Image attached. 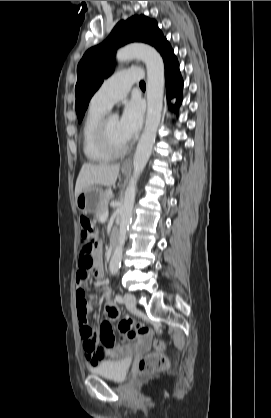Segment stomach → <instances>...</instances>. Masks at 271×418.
<instances>
[{
	"label": "stomach",
	"instance_id": "stomach-1",
	"mask_svg": "<svg viewBox=\"0 0 271 418\" xmlns=\"http://www.w3.org/2000/svg\"><path fill=\"white\" fill-rule=\"evenodd\" d=\"M126 173L125 168L122 169ZM104 191L98 186L94 185L82 191L76 198V206L84 214L95 213L99 207L100 201L103 197Z\"/></svg>",
	"mask_w": 271,
	"mask_h": 418
}]
</instances>
